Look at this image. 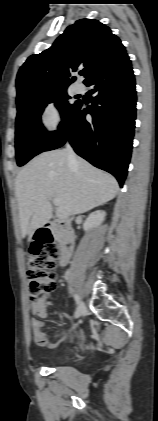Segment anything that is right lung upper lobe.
I'll return each mask as SVG.
<instances>
[{
    "mask_svg": "<svg viewBox=\"0 0 158 421\" xmlns=\"http://www.w3.org/2000/svg\"><path fill=\"white\" fill-rule=\"evenodd\" d=\"M125 47L109 27L98 20L80 19L67 27L54 44L40 54L31 55L20 68L17 79V104L35 96L67 89L73 71L82 69L86 83Z\"/></svg>",
    "mask_w": 158,
    "mask_h": 421,
    "instance_id": "right-lung-upper-lobe-1",
    "label": "right lung upper lobe"
}]
</instances>
